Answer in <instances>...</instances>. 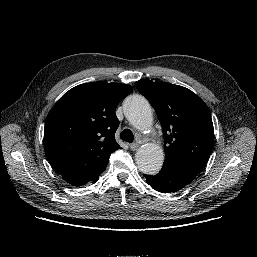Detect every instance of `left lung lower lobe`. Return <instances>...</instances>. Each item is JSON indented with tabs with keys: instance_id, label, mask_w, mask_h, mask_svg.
Instances as JSON below:
<instances>
[{
	"instance_id": "0a47b994",
	"label": "left lung lower lobe",
	"mask_w": 257,
	"mask_h": 257,
	"mask_svg": "<svg viewBox=\"0 0 257 257\" xmlns=\"http://www.w3.org/2000/svg\"><path fill=\"white\" fill-rule=\"evenodd\" d=\"M146 182L156 191L162 193L176 192L188 185L196 177L195 174L182 168L163 164L161 171L154 175H145Z\"/></svg>"
}]
</instances>
